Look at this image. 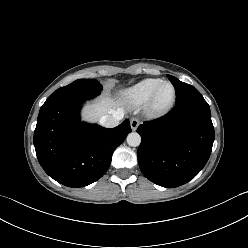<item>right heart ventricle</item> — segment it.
<instances>
[{
    "label": "right heart ventricle",
    "mask_w": 248,
    "mask_h": 248,
    "mask_svg": "<svg viewBox=\"0 0 248 248\" xmlns=\"http://www.w3.org/2000/svg\"><path fill=\"white\" fill-rule=\"evenodd\" d=\"M162 82L158 78H146L122 92L124 102L132 107L144 105L154 89Z\"/></svg>",
    "instance_id": "right-heart-ventricle-1"
}]
</instances>
